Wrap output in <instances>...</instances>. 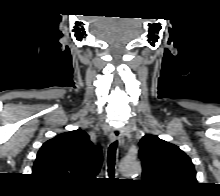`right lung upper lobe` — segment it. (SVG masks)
<instances>
[{"instance_id": "cb5924a9", "label": "right lung upper lobe", "mask_w": 220, "mask_h": 196, "mask_svg": "<svg viewBox=\"0 0 220 196\" xmlns=\"http://www.w3.org/2000/svg\"><path fill=\"white\" fill-rule=\"evenodd\" d=\"M101 165V148L94 147L89 135L78 129L45 142L37 154L32 174L49 184L73 188L85 178H95Z\"/></svg>"}]
</instances>
